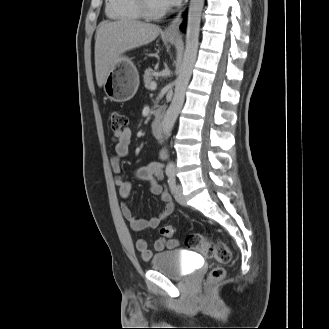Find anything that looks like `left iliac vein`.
<instances>
[{
  "instance_id": "left-iliac-vein-1",
  "label": "left iliac vein",
  "mask_w": 329,
  "mask_h": 329,
  "mask_svg": "<svg viewBox=\"0 0 329 329\" xmlns=\"http://www.w3.org/2000/svg\"><path fill=\"white\" fill-rule=\"evenodd\" d=\"M174 197L179 204L186 205V200L183 196L182 186L179 184L175 187Z\"/></svg>"
}]
</instances>
